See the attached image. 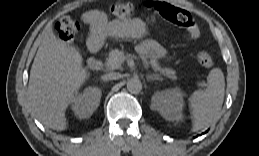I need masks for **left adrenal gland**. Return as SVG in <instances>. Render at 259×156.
I'll return each mask as SVG.
<instances>
[{"mask_svg": "<svg viewBox=\"0 0 259 156\" xmlns=\"http://www.w3.org/2000/svg\"><path fill=\"white\" fill-rule=\"evenodd\" d=\"M146 78L148 81H150V80H161L162 81V78L158 75H147Z\"/></svg>", "mask_w": 259, "mask_h": 156, "instance_id": "obj_1", "label": "left adrenal gland"}]
</instances>
